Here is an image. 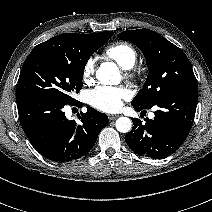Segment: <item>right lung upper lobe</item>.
<instances>
[{
	"instance_id": "obj_1",
	"label": "right lung upper lobe",
	"mask_w": 212,
	"mask_h": 212,
	"mask_svg": "<svg viewBox=\"0 0 212 212\" xmlns=\"http://www.w3.org/2000/svg\"><path fill=\"white\" fill-rule=\"evenodd\" d=\"M77 35H88V34H76V33H65L57 35L39 45L35 50H48V51H60L66 48L68 40Z\"/></svg>"
}]
</instances>
